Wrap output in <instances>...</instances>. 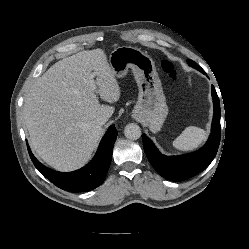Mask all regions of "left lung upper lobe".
Masks as SVG:
<instances>
[{
    "label": "left lung upper lobe",
    "instance_id": "1",
    "mask_svg": "<svg viewBox=\"0 0 249 249\" xmlns=\"http://www.w3.org/2000/svg\"><path fill=\"white\" fill-rule=\"evenodd\" d=\"M188 64L197 70H199L201 68L199 65L194 63L192 60H188Z\"/></svg>",
    "mask_w": 249,
    "mask_h": 249
}]
</instances>
